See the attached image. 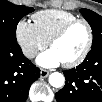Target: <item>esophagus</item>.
I'll return each instance as SVG.
<instances>
[{"label":"esophagus","instance_id":"obj_1","mask_svg":"<svg viewBox=\"0 0 102 102\" xmlns=\"http://www.w3.org/2000/svg\"><path fill=\"white\" fill-rule=\"evenodd\" d=\"M49 71L48 70H45V69H41V71H40V76L42 77V78H46L48 75H49Z\"/></svg>","mask_w":102,"mask_h":102}]
</instances>
